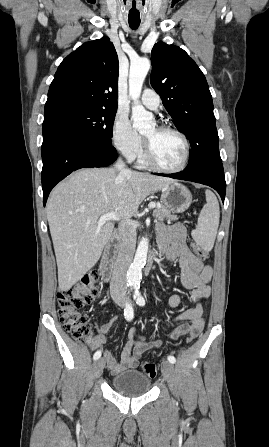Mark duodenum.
Instances as JSON below:
<instances>
[{"label":"duodenum","instance_id":"obj_1","mask_svg":"<svg viewBox=\"0 0 269 447\" xmlns=\"http://www.w3.org/2000/svg\"><path fill=\"white\" fill-rule=\"evenodd\" d=\"M118 242H119V234L116 233L107 244L103 257L101 259L100 264V274L101 278L104 281H108L111 278L112 272L114 270L115 266V260H116V253L118 248ZM158 256V251H152L147 259V262L145 264V273L148 274L151 269L153 268V265L155 263V260Z\"/></svg>","mask_w":269,"mask_h":447}]
</instances>
